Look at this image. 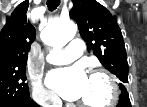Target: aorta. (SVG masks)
I'll list each match as a JSON object with an SVG mask.
<instances>
[{
  "instance_id": "obj_1",
  "label": "aorta",
  "mask_w": 147,
  "mask_h": 107,
  "mask_svg": "<svg viewBox=\"0 0 147 107\" xmlns=\"http://www.w3.org/2000/svg\"><path fill=\"white\" fill-rule=\"evenodd\" d=\"M77 26L71 21L49 22L41 34L43 42L54 48H61L74 38Z\"/></svg>"
}]
</instances>
